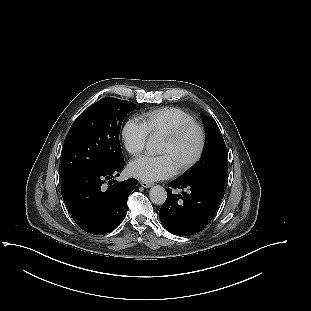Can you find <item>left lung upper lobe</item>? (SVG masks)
<instances>
[{"label":"left lung upper lobe","instance_id":"5c2ea615","mask_svg":"<svg viewBox=\"0 0 311 311\" xmlns=\"http://www.w3.org/2000/svg\"><path fill=\"white\" fill-rule=\"evenodd\" d=\"M206 138L201 159L178 177L184 181H206L224 189L227 176V152L220 129L211 116H203Z\"/></svg>","mask_w":311,"mask_h":311}]
</instances>
